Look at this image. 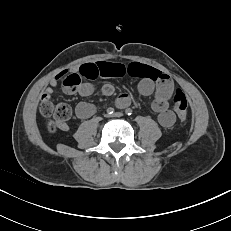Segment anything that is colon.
Segmentation results:
<instances>
[{
	"instance_id": "1",
	"label": "colon",
	"mask_w": 231,
	"mask_h": 231,
	"mask_svg": "<svg viewBox=\"0 0 231 231\" xmlns=\"http://www.w3.org/2000/svg\"><path fill=\"white\" fill-rule=\"evenodd\" d=\"M81 84V76L78 73H70L63 78L62 85L66 92H75ZM174 109L180 122H185L187 118V100L180 90H176L173 98ZM40 112L48 119L47 129L55 132L60 122L68 121L72 116L71 108L64 103L54 104L50 99H42Z\"/></svg>"
}]
</instances>
